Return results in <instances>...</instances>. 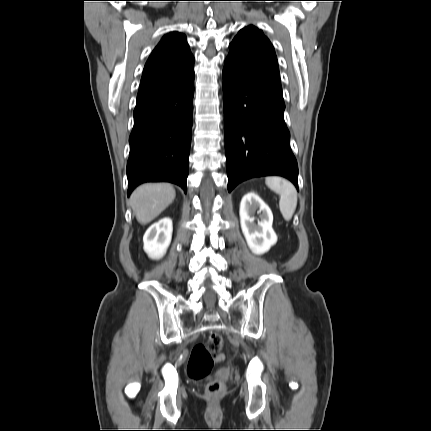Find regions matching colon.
<instances>
[{"label": "colon", "mask_w": 431, "mask_h": 431, "mask_svg": "<svg viewBox=\"0 0 431 431\" xmlns=\"http://www.w3.org/2000/svg\"><path fill=\"white\" fill-rule=\"evenodd\" d=\"M223 339L218 333H210L207 340L196 344L191 352L187 372L194 381H201L207 378L214 366V363H224L225 354H221ZM224 389L223 383L214 379L207 384L206 393L209 396H217Z\"/></svg>", "instance_id": "5ec220e1"}]
</instances>
